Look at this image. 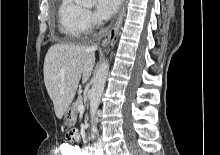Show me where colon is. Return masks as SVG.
I'll list each match as a JSON object with an SVG mask.
<instances>
[{
  "mask_svg": "<svg viewBox=\"0 0 220 155\" xmlns=\"http://www.w3.org/2000/svg\"><path fill=\"white\" fill-rule=\"evenodd\" d=\"M60 155H81V147L79 146H60Z\"/></svg>",
  "mask_w": 220,
  "mask_h": 155,
  "instance_id": "colon-1",
  "label": "colon"
}]
</instances>
